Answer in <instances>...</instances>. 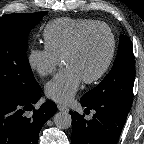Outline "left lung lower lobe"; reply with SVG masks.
I'll return each instance as SVG.
<instances>
[{"label": "left lung lower lobe", "mask_w": 144, "mask_h": 144, "mask_svg": "<svg viewBox=\"0 0 144 144\" xmlns=\"http://www.w3.org/2000/svg\"><path fill=\"white\" fill-rule=\"evenodd\" d=\"M85 110L96 112L89 121L77 112L72 113V144H116L132 104L104 98L94 102L81 99Z\"/></svg>", "instance_id": "obj_1"}]
</instances>
